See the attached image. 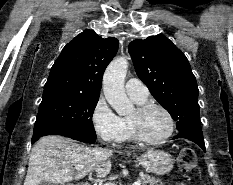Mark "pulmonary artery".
Wrapping results in <instances>:
<instances>
[{
	"label": "pulmonary artery",
	"mask_w": 233,
	"mask_h": 185,
	"mask_svg": "<svg viewBox=\"0 0 233 185\" xmlns=\"http://www.w3.org/2000/svg\"><path fill=\"white\" fill-rule=\"evenodd\" d=\"M126 92L131 98L146 99L149 91L146 85L137 78H130L125 84Z\"/></svg>",
	"instance_id": "obj_1"
}]
</instances>
